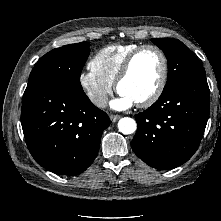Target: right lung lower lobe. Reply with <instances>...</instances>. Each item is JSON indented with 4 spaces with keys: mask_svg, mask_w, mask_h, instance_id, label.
<instances>
[{
    "mask_svg": "<svg viewBox=\"0 0 221 221\" xmlns=\"http://www.w3.org/2000/svg\"><path fill=\"white\" fill-rule=\"evenodd\" d=\"M21 124L35 161L60 175H78L94 161L108 115L82 89L28 83Z\"/></svg>",
    "mask_w": 221,
    "mask_h": 221,
    "instance_id": "obj_1",
    "label": "right lung lower lobe"
}]
</instances>
